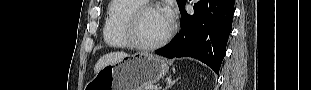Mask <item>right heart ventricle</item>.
Returning a JSON list of instances; mask_svg holds the SVG:
<instances>
[{
    "mask_svg": "<svg viewBox=\"0 0 311 90\" xmlns=\"http://www.w3.org/2000/svg\"><path fill=\"white\" fill-rule=\"evenodd\" d=\"M145 3L140 0H113L107 8V14L103 26L105 43L113 48L130 47L125 32V24L128 15L137 7Z\"/></svg>",
    "mask_w": 311,
    "mask_h": 90,
    "instance_id": "obj_1",
    "label": "right heart ventricle"
}]
</instances>
